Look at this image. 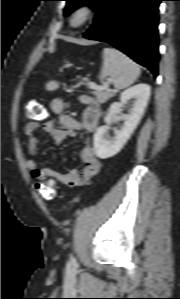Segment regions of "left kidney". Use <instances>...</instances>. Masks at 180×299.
<instances>
[{"instance_id": "left-kidney-1", "label": "left kidney", "mask_w": 180, "mask_h": 299, "mask_svg": "<svg viewBox=\"0 0 180 299\" xmlns=\"http://www.w3.org/2000/svg\"><path fill=\"white\" fill-rule=\"evenodd\" d=\"M149 98L150 86L138 84L124 91L120 96V101L110 106L104 119L106 125L99 127L94 134V150L97 157L107 159L122 149L141 120ZM128 103H131L128 114L120 117L124 121L122 127L114 130V137L107 138L105 134L109 129L108 125L116 119V114Z\"/></svg>"}]
</instances>
